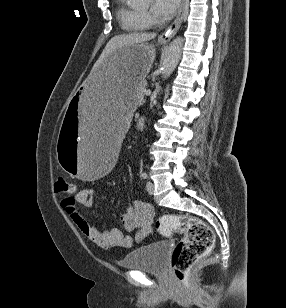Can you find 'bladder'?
<instances>
[{
	"label": "bladder",
	"mask_w": 286,
	"mask_h": 308,
	"mask_svg": "<svg viewBox=\"0 0 286 308\" xmlns=\"http://www.w3.org/2000/svg\"><path fill=\"white\" fill-rule=\"evenodd\" d=\"M168 244L148 243L127 253L120 261L123 269L162 274L166 268Z\"/></svg>",
	"instance_id": "obj_1"
}]
</instances>
